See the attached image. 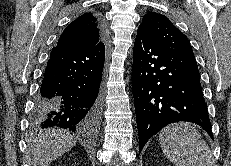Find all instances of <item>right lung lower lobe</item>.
Masks as SVG:
<instances>
[{"instance_id": "obj_1", "label": "right lung lower lobe", "mask_w": 231, "mask_h": 166, "mask_svg": "<svg viewBox=\"0 0 231 166\" xmlns=\"http://www.w3.org/2000/svg\"><path fill=\"white\" fill-rule=\"evenodd\" d=\"M104 60V43L89 48L55 46L35 102V123L92 134L101 115Z\"/></svg>"}]
</instances>
